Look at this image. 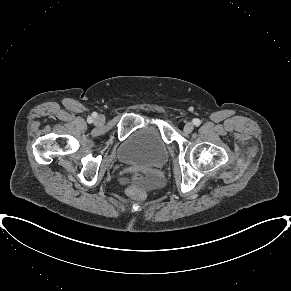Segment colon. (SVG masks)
<instances>
[{"label":"colon","mask_w":291,"mask_h":291,"mask_svg":"<svg viewBox=\"0 0 291 291\" xmlns=\"http://www.w3.org/2000/svg\"><path fill=\"white\" fill-rule=\"evenodd\" d=\"M144 179V175L141 173H135L132 175L131 182L127 188L128 194L136 200H143L146 196L145 191L141 187V182Z\"/></svg>","instance_id":"1"}]
</instances>
